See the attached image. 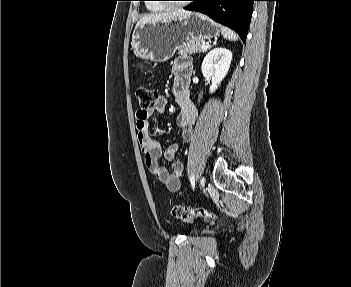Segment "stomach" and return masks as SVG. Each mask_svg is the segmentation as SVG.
<instances>
[{
  "label": "stomach",
  "instance_id": "stomach-1",
  "mask_svg": "<svg viewBox=\"0 0 351 287\" xmlns=\"http://www.w3.org/2000/svg\"><path fill=\"white\" fill-rule=\"evenodd\" d=\"M219 33L220 25L200 13H191L166 22L136 26L132 48L137 57L161 63L169 60L180 45L196 39H212Z\"/></svg>",
  "mask_w": 351,
  "mask_h": 287
}]
</instances>
